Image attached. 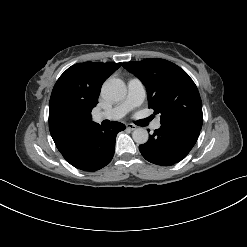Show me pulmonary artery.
I'll return each instance as SVG.
<instances>
[{
	"instance_id": "e3ab8cb5",
	"label": "pulmonary artery",
	"mask_w": 247,
	"mask_h": 247,
	"mask_svg": "<svg viewBox=\"0 0 247 247\" xmlns=\"http://www.w3.org/2000/svg\"><path fill=\"white\" fill-rule=\"evenodd\" d=\"M145 98V88L141 80L138 78H132L128 81V93L126 98L116 105L115 107L97 113L94 116L96 122H101L105 119L117 120L127 114L132 108L142 104ZM161 124L159 120H156L152 127L154 129L160 128Z\"/></svg>"
}]
</instances>
